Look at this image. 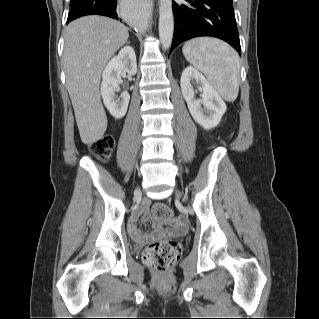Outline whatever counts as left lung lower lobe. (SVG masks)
Returning <instances> with one entry per match:
<instances>
[{
  "label": "left lung lower lobe",
  "mask_w": 319,
  "mask_h": 319,
  "mask_svg": "<svg viewBox=\"0 0 319 319\" xmlns=\"http://www.w3.org/2000/svg\"><path fill=\"white\" fill-rule=\"evenodd\" d=\"M173 3L174 36L171 52L182 42L199 36L220 38L241 55L233 5L222 0H185Z\"/></svg>",
  "instance_id": "0a47b994"
}]
</instances>
